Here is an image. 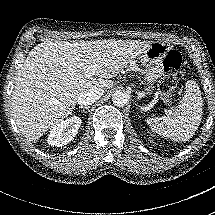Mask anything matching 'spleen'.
Listing matches in <instances>:
<instances>
[{
    "instance_id": "spleen-1",
    "label": "spleen",
    "mask_w": 215,
    "mask_h": 215,
    "mask_svg": "<svg viewBox=\"0 0 215 215\" xmlns=\"http://www.w3.org/2000/svg\"><path fill=\"white\" fill-rule=\"evenodd\" d=\"M202 100L197 85L189 81L176 112L148 117L146 123L156 134L176 142L187 141L201 120Z\"/></svg>"
}]
</instances>
